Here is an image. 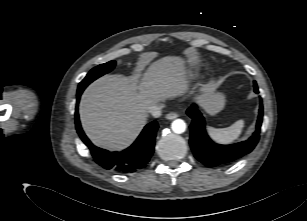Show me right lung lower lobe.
Instances as JSON below:
<instances>
[{
    "label": "right lung lower lobe",
    "instance_id": "obj_1",
    "mask_svg": "<svg viewBox=\"0 0 307 221\" xmlns=\"http://www.w3.org/2000/svg\"><path fill=\"white\" fill-rule=\"evenodd\" d=\"M83 90L78 88L77 91L75 124L80 138L89 148L95 162L107 170L118 173H132L144 168L154 151L156 131L158 129L157 122L153 121L146 125L137 140L124 151L111 152L96 147L84 134L79 121L78 103Z\"/></svg>",
    "mask_w": 307,
    "mask_h": 221
}]
</instances>
